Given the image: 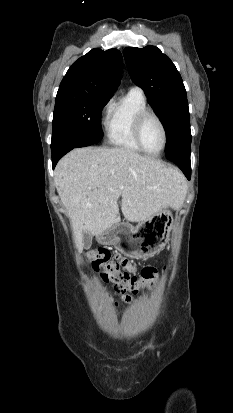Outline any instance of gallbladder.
<instances>
[{"label":"gallbladder","mask_w":233,"mask_h":413,"mask_svg":"<svg viewBox=\"0 0 233 413\" xmlns=\"http://www.w3.org/2000/svg\"><path fill=\"white\" fill-rule=\"evenodd\" d=\"M91 244H92V238H91L90 234L84 233V235H83V246H84V248H86V249L90 248Z\"/></svg>","instance_id":"obj_1"}]
</instances>
